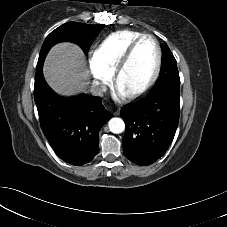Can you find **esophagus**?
Returning a JSON list of instances; mask_svg holds the SVG:
<instances>
[{
	"label": "esophagus",
	"instance_id": "34e87169",
	"mask_svg": "<svg viewBox=\"0 0 227 227\" xmlns=\"http://www.w3.org/2000/svg\"><path fill=\"white\" fill-rule=\"evenodd\" d=\"M113 114L117 116V115L119 114V110H115V111L113 112Z\"/></svg>",
	"mask_w": 227,
	"mask_h": 227
}]
</instances>
